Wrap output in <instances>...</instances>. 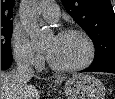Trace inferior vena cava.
<instances>
[{
    "label": "inferior vena cava",
    "instance_id": "inferior-vena-cava-1",
    "mask_svg": "<svg viewBox=\"0 0 115 99\" xmlns=\"http://www.w3.org/2000/svg\"><path fill=\"white\" fill-rule=\"evenodd\" d=\"M16 75L21 83H25L27 80L34 76V71L30 66V62L26 58H19L17 60Z\"/></svg>",
    "mask_w": 115,
    "mask_h": 99
}]
</instances>
